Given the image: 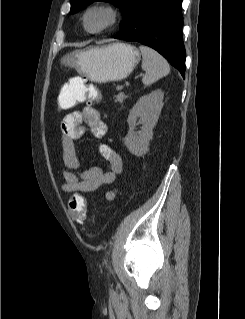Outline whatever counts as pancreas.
Instances as JSON below:
<instances>
[{
    "label": "pancreas",
    "mask_w": 245,
    "mask_h": 319,
    "mask_svg": "<svg viewBox=\"0 0 245 319\" xmlns=\"http://www.w3.org/2000/svg\"><path fill=\"white\" fill-rule=\"evenodd\" d=\"M114 98H115L114 99L115 103L122 102L124 100V95L123 94H118V95H115Z\"/></svg>",
    "instance_id": "1"
}]
</instances>
